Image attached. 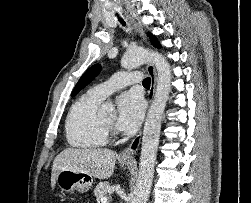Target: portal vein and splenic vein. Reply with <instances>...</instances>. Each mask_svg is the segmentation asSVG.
<instances>
[{
	"instance_id": "obj_1",
	"label": "portal vein and splenic vein",
	"mask_w": 251,
	"mask_h": 203,
	"mask_svg": "<svg viewBox=\"0 0 251 203\" xmlns=\"http://www.w3.org/2000/svg\"><path fill=\"white\" fill-rule=\"evenodd\" d=\"M101 203H108V198L107 197H103L101 199Z\"/></svg>"
}]
</instances>
